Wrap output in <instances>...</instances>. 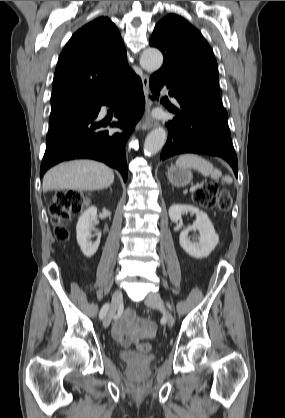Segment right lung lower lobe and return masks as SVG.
I'll use <instances>...</instances> for the list:
<instances>
[{"mask_svg":"<svg viewBox=\"0 0 285 418\" xmlns=\"http://www.w3.org/2000/svg\"><path fill=\"white\" fill-rule=\"evenodd\" d=\"M89 113L69 118L51 126L46 138V151L41 163L40 177L59 162L72 159H94L120 171L127 180L125 143L145 106L141 79L134 75L131 82L118 93L91 104ZM102 105L112 107L120 119L111 126L125 129L123 133H109L108 123L97 121Z\"/></svg>","mask_w":285,"mask_h":418,"instance_id":"98d812e1","label":"right lung lower lobe"}]
</instances>
